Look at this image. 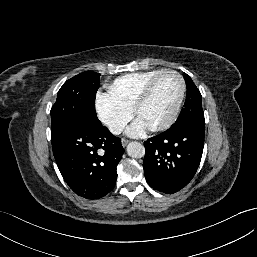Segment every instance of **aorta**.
<instances>
[{
	"label": "aorta",
	"mask_w": 257,
	"mask_h": 257,
	"mask_svg": "<svg viewBox=\"0 0 257 257\" xmlns=\"http://www.w3.org/2000/svg\"><path fill=\"white\" fill-rule=\"evenodd\" d=\"M127 153L132 158H142L145 155V148L139 142H131L127 146Z\"/></svg>",
	"instance_id": "obj_1"
}]
</instances>
